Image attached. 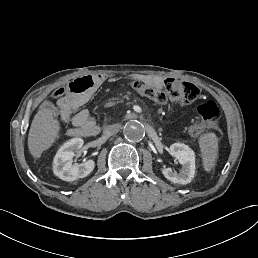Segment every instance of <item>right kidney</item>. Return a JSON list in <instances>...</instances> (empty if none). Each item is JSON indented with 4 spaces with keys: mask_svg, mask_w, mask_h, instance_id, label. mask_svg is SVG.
<instances>
[{
    "mask_svg": "<svg viewBox=\"0 0 258 258\" xmlns=\"http://www.w3.org/2000/svg\"><path fill=\"white\" fill-rule=\"evenodd\" d=\"M84 140L80 137L66 141L57 151L53 160V172L62 180L74 181L89 175L94 169L93 161L74 164L73 156L76 148H81Z\"/></svg>",
    "mask_w": 258,
    "mask_h": 258,
    "instance_id": "right-kidney-1",
    "label": "right kidney"
}]
</instances>
